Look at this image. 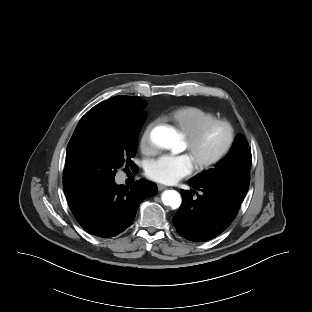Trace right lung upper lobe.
<instances>
[{
  "label": "right lung upper lobe",
  "instance_id": "obj_1",
  "mask_svg": "<svg viewBox=\"0 0 312 312\" xmlns=\"http://www.w3.org/2000/svg\"><path fill=\"white\" fill-rule=\"evenodd\" d=\"M144 101L140 97L132 96H115L96 105L99 107H115L123 110L134 111L142 108ZM78 198H68V202L72 203Z\"/></svg>",
  "mask_w": 312,
  "mask_h": 312
}]
</instances>
